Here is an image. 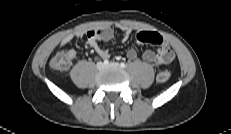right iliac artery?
I'll use <instances>...</instances> for the list:
<instances>
[{
    "label": "right iliac artery",
    "mask_w": 231,
    "mask_h": 134,
    "mask_svg": "<svg viewBox=\"0 0 231 134\" xmlns=\"http://www.w3.org/2000/svg\"><path fill=\"white\" fill-rule=\"evenodd\" d=\"M103 64H104V65H108V64H109V61H108L107 59H105V60L103 61Z\"/></svg>",
    "instance_id": "82829eb1"
}]
</instances>
